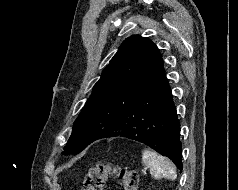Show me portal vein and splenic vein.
Listing matches in <instances>:
<instances>
[{
	"label": "portal vein and splenic vein",
	"mask_w": 238,
	"mask_h": 190,
	"mask_svg": "<svg viewBox=\"0 0 238 190\" xmlns=\"http://www.w3.org/2000/svg\"><path fill=\"white\" fill-rule=\"evenodd\" d=\"M142 172H143V173H145V172H146V170L144 169V170H142Z\"/></svg>",
	"instance_id": "1"
}]
</instances>
